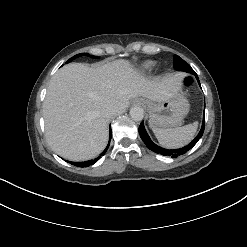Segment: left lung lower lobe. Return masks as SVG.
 I'll return each instance as SVG.
<instances>
[{
  "label": "left lung lower lobe",
  "mask_w": 247,
  "mask_h": 247,
  "mask_svg": "<svg viewBox=\"0 0 247 247\" xmlns=\"http://www.w3.org/2000/svg\"><path fill=\"white\" fill-rule=\"evenodd\" d=\"M194 75L196 76L198 83L200 85L197 74H194ZM204 119H205V115H204ZM204 119H203L201 130H200L199 134L196 136V138L190 144H188L187 146L180 148V149L168 150V149H164V148L159 147L158 145L154 144L152 142V140L150 139L149 135L147 134L143 122L139 126V134H140V137L142 138L143 142L145 143V145L150 150H152L153 152L160 153L161 155H165V156H171L172 158H176L179 155H182V154L186 153L188 150H190L198 142V140L202 137L203 132H204Z\"/></svg>",
  "instance_id": "obj_1"
}]
</instances>
